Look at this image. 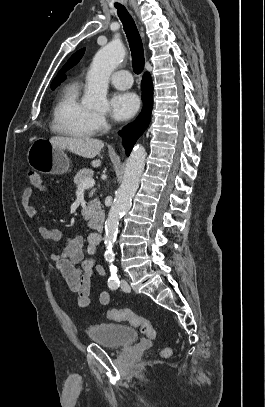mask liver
Here are the masks:
<instances>
[{
	"instance_id": "6515ba94",
	"label": "liver",
	"mask_w": 265,
	"mask_h": 407,
	"mask_svg": "<svg viewBox=\"0 0 265 407\" xmlns=\"http://www.w3.org/2000/svg\"><path fill=\"white\" fill-rule=\"evenodd\" d=\"M49 142L54 146L67 149L70 152L84 158L96 157L104 147L103 141L89 137L78 138L56 136L50 138ZM91 165L93 167H98L101 165V161L94 160L92 161Z\"/></svg>"
}]
</instances>
